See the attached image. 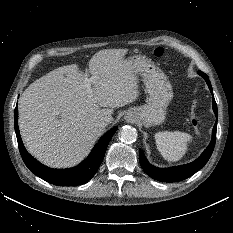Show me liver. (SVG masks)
<instances>
[{"label":"liver","instance_id":"liver-1","mask_svg":"<svg viewBox=\"0 0 233 233\" xmlns=\"http://www.w3.org/2000/svg\"><path fill=\"white\" fill-rule=\"evenodd\" d=\"M127 49L100 50L87 75L77 64L59 67L30 84L19 99V129L28 152L43 164L72 167L90 152L102 129L97 125L113 108L138 97L137 77L124 59Z\"/></svg>","mask_w":233,"mask_h":233}]
</instances>
